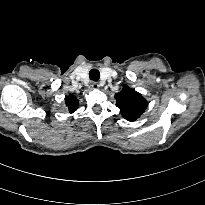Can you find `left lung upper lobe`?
I'll return each instance as SVG.
<instances>
[{
  "label": "left lung upper lobe",
  "instance_id": "5c2ea615",
  "mask_svg": "<svg viewBox=\"0 0 205 205\" xmlns=\"http://www.w3.org/2000/svg\"><path fill=\"white\" fill-rule=\"evenodd\" d=\"M115 99L122 116L129 121H135L147 108V101L142 95L127 85L115 94Z\"/></svg>",
  "mask_w": 205,
  "mask_h": 205
}]
</instances>
